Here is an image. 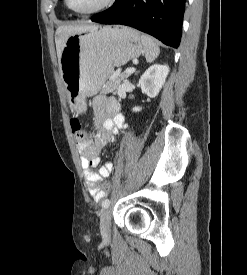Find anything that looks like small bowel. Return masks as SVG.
<instances>
[{
    "instance_id": "small-bowel-1",
    "label": "small bowel",
    "mask_w": 247,
    "mask_h": 275,
    "mask_svg": "<svg viewBox=\"0 0 247 275\" xmlns=\"http://www.w3.org/2000/svg\"><path fill=\"white\" fill-rule=\"evenodd\" d=\"M94 124L98 131L93 141H83L77 144L80 153V163L90 195L96 201L102 200L106 193L100 188V182L107 178L114 169L112 162H106L98 171H93L100 164V152L107 143L116 140L120 130L127 129L124 116L120 112L119 103L110 97H97L92 102Z\"/></svg>"
}]
</instances>
